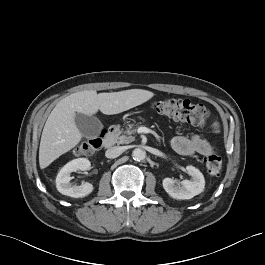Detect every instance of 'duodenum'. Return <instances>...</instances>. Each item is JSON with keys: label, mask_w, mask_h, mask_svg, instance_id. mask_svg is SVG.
<instances>
[{"label": "duodenum", "mask_w": 265, "mask_h": 265, "mask_svg": "<svg viewBox=\"0 0 265 265\" xmlns=\"http://www.w3.org/2000/svg\"><path fill=\"white\" fill-rule=\"evenodd\" d=\"M116 132L115 130H110L103 139V145L105 148H112L116 141Z\"/></svg>", "instance_id": "obj_1"}]
</instances>
